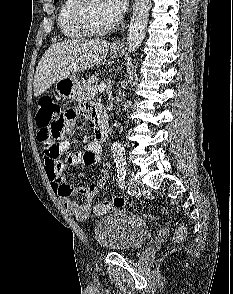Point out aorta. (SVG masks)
Masks as SVG:
<instances>
[{"label": "aorta", "mask_w": 233, "mask_h": 294, "mask_svg": "<svg viewBox=\"0 0 233 294\" xmlns=\"http://www.w3.org/2000/svg\"><path fill=\"white\" fill-rule=\"evenodd\" d=\"M132 18L127 34V48L129 52H135L145 38V31L149 19L150 0H134ZM114 162L117 167L125 165V152L123 146L114 142L112 145Z\"/></svg>", "instance_id": "aorta-1"}]
</instances>
